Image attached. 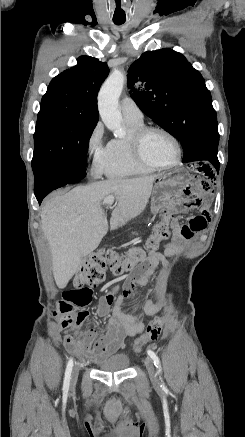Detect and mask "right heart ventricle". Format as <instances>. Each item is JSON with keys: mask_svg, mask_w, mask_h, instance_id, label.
<instances>
[{"mask_svg": "<svg viewBox=\"0 0 245 437\" xmlns=\"http://www.w3.org/2000/svg\"><path fill=\"white\" fill-rule=\"evenodd\" d=\"M127 136L112 139L107 146L103 172L109 178H129L152 173L154 169L139 163L133 156L129 139L130 136L143 126L142 122L125 119Z\"/></svg>", "mask_w": 245, "mask_h": 437, "instance_id": "e07e8e85", "label": "right heart ventricle"}]
</instances>
